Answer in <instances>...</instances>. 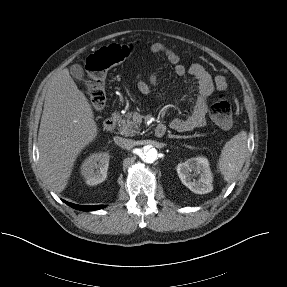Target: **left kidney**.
Masks as SVG:
<instances>
[{"label": "left kidney", "mask_w": 287, "mask_h": 287, "mask_svg": "<svg viewBox=\"0 0 287 287\" xmlns=\"http://www.w3.org/2000/svg\"><path fill=\"white\" fill-rule=\"evenodd\" d=\"M177 173L181 182L196 194H206L213 190V177L209 162L203 156L193 157L183 163H179ZM197 176H199L198 180L195 179Z\"/></svg>", "instance_id": "1"}]
</instances>
